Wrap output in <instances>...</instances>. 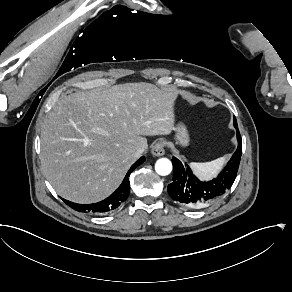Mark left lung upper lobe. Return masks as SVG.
Here are the masks:
<instances>
[{
	"mask_svg": "<svg viewBox=\"0 0 292 292\" xmlns=\"http://www.w3.org/2000/svg\"><path fill=\"white\" fill-rule=\"evenodd\" d=\"M234 126H235V128H238V126H237V122H236V118L234 117Z\"/></svg>",
	"mask_w": 292,
	"mask_h": 292,
	"instance_id": "left-lung-upper-lobe-1",
	"label": "left lung upper lobe"
}]
</instances>
